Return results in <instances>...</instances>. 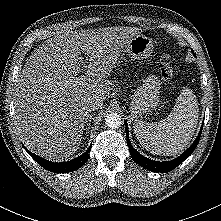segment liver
Masks as SVG:
<instances>
[{
	"label": "liver",
	"instance_id": "1",
	"mask_svg": "<svg viewBox=\"0 0 221 221\" xmlns=\"http://www.w3.org/2000/svg\"><path fill=\"white\" fill-rule=\"evenodd\" d=\"M139 33L132 27L64 32L32 51L14 99V124L29 150L53 161L75 154L89 118L87 102L107 98L114 85L108 77ZM80 51L89 64L83 83L77 77L83 63Z\"/></svg>",
	"mask_w": 221,
	"mask_h": 221
}]
</instances>
